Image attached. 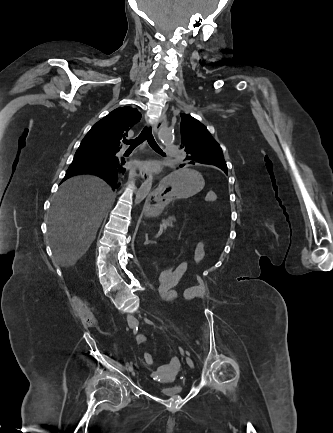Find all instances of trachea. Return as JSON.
<instances>
[{"label": "trachea", "instance_id": "3493384b", "mask_svg": "<svg viewBox=\"0 0 333 433\" xmlns=\"http://www.w3.org/2000/svg\"><path fill=\"white\" fill-rule=\"evenodd\" d=\"M145 140L148 141V144L152 147L153 150L164 154V152L161 150V148L156 143V141L152 135V130L150 127H145L137 138H135L133 140H125L124 143L127 145H130V148H135L136 146H138L139 144H141Z\"/></svg>", "mask_w": 333, "mask_h": 433}]
</instances>
